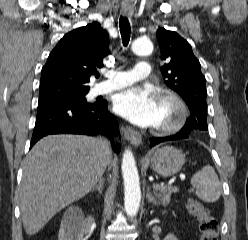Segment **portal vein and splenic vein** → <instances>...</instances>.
I'll return each mask as SVG.
<instances>
[{"mask_svg": "<svg viewBox=\"0 0 248 240\" xmlns=\"http://www.w3.org/2000/svg\"><path fill=\"white\" fill-rule=\"evenodd\" d=\"M160 187H163V186H160L158 184H153V188L154 189H159ZM168 188L172 189L173 191L177 192L178 191V188L177 187H173V186H168Z\"/></svg>", "mask_w": 248, "mask_h": 240, "instance_id": "portal-vein-and-splenic-vein-1", "label": "portal vein and splenic vein"}]
</instances>
